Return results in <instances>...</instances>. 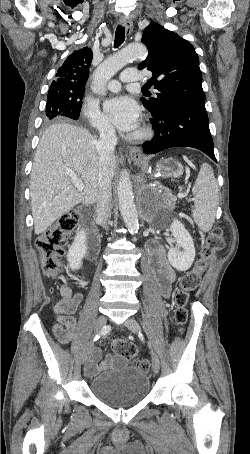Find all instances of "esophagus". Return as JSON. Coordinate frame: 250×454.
Wrapping results in <instances>:
<instances>
[{
    "label": "esophagus",
    "instance_id": "esophagus-1",
    "mask_svg": "<svg viewBox=\"0 0 250 454\" xmlns=\"http://www.w3.org/2000/svg\"><path fill=\"white\" fill-rule=\"evenodd\" d=\"M119 23L120 25L125 27L127 34H131L133 29V23L130 19L126 17H120ZM129 155L133 160H142L143 158L142 151L139 147H131L129 150Z\"/></svg>",
    "mask_w": 250,
    "mask_h": 454
}]
</instances>
